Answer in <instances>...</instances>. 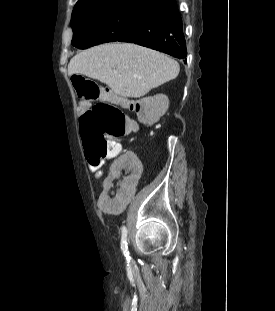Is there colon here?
Returning <instances> with one entry per match:
<instances>
[{"label": "colon", "mask_w": 275, "mask_h": 311, "mask_svg": "<svg viewBox=\"0 0 275 311\" xmlns=\"http://www.w3.org/2000/svg\"><path fill=\"white\" fill-rule=\"evenodd\" d=\"M72 82L80 101L100 100L80 115L81 135L89 157L96 160L115 157L120 152V146L114 139L131 132L132 123L121 109L110 103L107 98L109 93L103 92L94 81L75 75ZM124 106L135 110L145 125H151L156 120L149 101L124 102Z\"/></svg>", "instance_id": "obj_1"}]
</instances>
